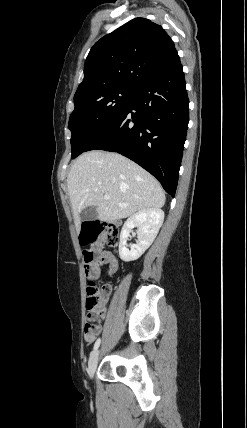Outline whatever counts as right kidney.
<instances>
[{
	"instance_id": "1",
	"label": "right kidney",
	"mask_w": 247,
	"mask_h": 428,
	"mask_svg": "<svg viewBox=\"0 0 247 428\" xmlns=\"http://www.w3.org/2000/svg\"><path fill=\"white\" fill-rule=\"evenodd\" d=\"M164 220V212L148 208L129 217L124 223L119 242V256L125 262L137 260L153 243ZM134 227H138L136 244L127 245L128 237Z\"/></svg>"
}]
</instances>
